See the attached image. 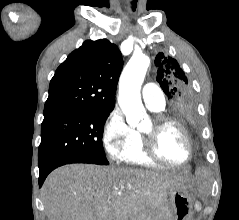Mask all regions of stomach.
Instances as JSON below:
<instances>
[{"instance_id":"0dacf381","label":"stomach","mask_w":239,"mask_h":220,"mask_svg":"<svg viewBox=\"0 0 239 220\" xmlns=\"http://www.w3.org/2000/svg\"><path fill=\"white\" fill-rule=\"evenodd\" d=\"M169 204L173 211V220H189L193 199L185 189H173L168 192Z\"/></svg>"}]
</instances>
